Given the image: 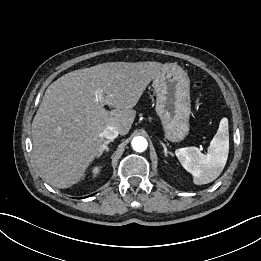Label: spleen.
I'll return each instance as SVG.
<instances>
[{
	"instance_id": "1",
	"label": "spleen",
	"mask_w": 261,
	"mask_h": 261,
	"mask_svg": "<svg viewBox=\"0 0 261 261\" xmlns=\"http://www.w3.org/2000/svg\"><path fill=\"white\" fill-rule=\"evenodd\" d=\"M229 153L228 119L222 118L219 128L203 154L197 147H185L175 151L182 166L193 175L196 185L214 181L223 171Z\"/></svg>"
}]
</instances>
